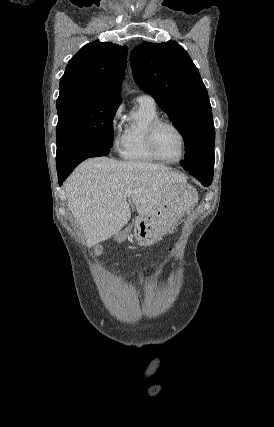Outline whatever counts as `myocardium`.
<instances>
[{
    "label": "myocardium",
    "instance_id": "obj_1",
    "mask_svg": "<svg viewBox=\"0 0 274 427\" xmlns=\"http://www.w3.org/2000/svg\"><path fill=\"white\" fill-rule=\"evenodd\" d=\"M162 126H169L172 129H174L180 136L181 139V143H182V152H181V156L179 159L175 160V161H169L167 159H165L160 152L157 149V145H156V135H157V131L159 130L160 127ZM147 146L148 149L150 150V152L160 161L166 164H178L180 162H182L186 156L187 153V141H186V137L183 133V131L173 122L168 121V120H156L154 121L148 131H147Z\"/></svg>",
    "mask_w": 274,
    "mask_h": 427
}]
</instances>
